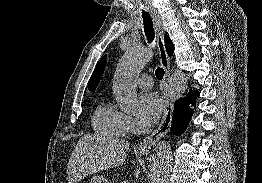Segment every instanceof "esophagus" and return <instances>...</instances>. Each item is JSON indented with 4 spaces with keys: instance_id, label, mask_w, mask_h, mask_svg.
Wrapping results in <instances>:
<instances>
[{
    "instance_id": "esophagus-1",
    "label": "esophagus",
    "mask_w": 262,
    "mask_h": 183,
    "mask_svg": "<svg viewBox=\"0 0 262 183\" xmlns=\"http://www.w3.org/2000/svg\"><path fill=\"white\" fill-rule=\"evenodd\" d=\"M152 18L155 23L156 30V40L159 50L160 64L164 68V82L162 85V97H163V117L162 121L159 124L158 128L153 131L150 135H148L143 141H141L137 147L138 151L148 152L152 147L156 145V143L166 135V133L170 129L172 113H173V104L168 99L165 94V87L167 85V81L170 77V59L167 55L164 43V28L162 25V21L157 12H152Z\"/></svg>"
}]
</instances>
